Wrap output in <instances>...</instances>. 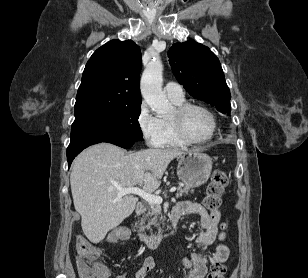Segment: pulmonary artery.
Returning <instances> with one entry per match:
<instances>
[{
    "instance_id": "pulmonary-artery-1",
    "label": "pulmonary artery",
    "mask_w": 308,
    "mask_h": 278,
    "mask_svg": "<svg viewBox=\"0 0 308 278\" xmlns=\"http://www.w3.org/2000/svg\"><path fill=\"white\" fill-rule=\"evenodd\" d=\"M164 92L169 99L181 100L184 99V92L182 87L174 82H169L164 87Z\"/></svg>"
}]
</instances>
